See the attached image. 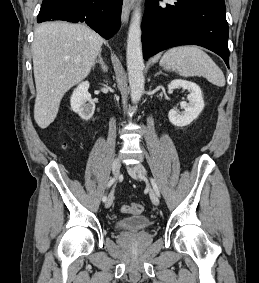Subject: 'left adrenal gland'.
Listing matches in <instances>:
<instances>
[{"mask_svg":"<svg viewBox=\"0 0 259 283\" xmlns=\"http://www.w3.org/2000/svg\"><path fill=\"white\" fill-rule=\"evenodd\" d=\"M159 74H162V71H161V70H159V72H157V73L155 74V76H157V75H159Z\"/></svg>","mask_w":259,"mask_h":283,"instance_id":"obj_1","label":"left adrenal gland"}]
</instances>
